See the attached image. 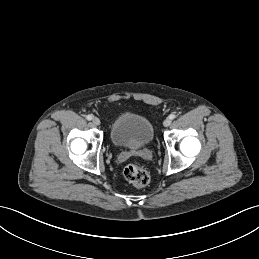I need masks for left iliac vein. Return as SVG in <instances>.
<instances>
[{
	"mask_svg": "<svg viewBox=\"0 0 259 259\" xmlns=\"http://www.w3.org/2000/svg\"><path fill=\"white\" fill-rule=\"evenodd\" d=\"M170 124H171V119L170 118L165 119L164 122H163V125L165 127H168Z\"/></svg>",
	"mask_w": 259,
	"mask_h": 259,
	"instance_id": "4c4485c4",
	"label": "left iliac vein"
}]
</instances>
